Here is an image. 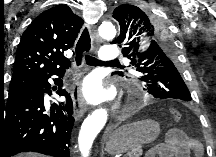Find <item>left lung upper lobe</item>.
<instances>
[{
	"label": "left lung upper lobe",
	"mask_w": 216,
	"mask_h": 157,
	"mask_svg": "<svg viewBox=\"0 0 216 157\" xmlns=\"http://www.w3.org/2000/svg\"><path fill=\"white\" fill-rule=\"evenodd\" d=\"M112 17L120 26V35L113 43H120L130 66L144 82V90L158 99L191 101V94L181 77L177 51L168 27H163L158 15H151L135 5L116 7ZM120 76L121 72H117Z\"/></svg>",
	"instance_id": "left-lung-upper-lobe-1"
}]
</instances>
